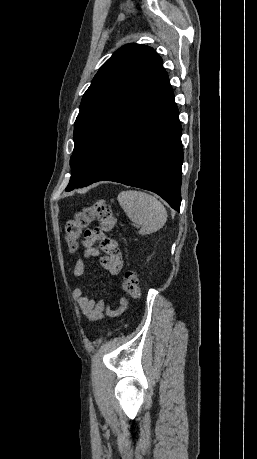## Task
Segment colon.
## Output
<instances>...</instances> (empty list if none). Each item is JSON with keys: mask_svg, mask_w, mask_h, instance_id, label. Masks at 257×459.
Returning <instances> with one entry per match:
<instances>
[{"mask_svg": "<svg viewBox=\"0 0 257 459\" xmlns=\"http://www.w3.org/2000/svg\"><path fill=\"white\" fill-rule=\"evenodd\" d=\"M95 219L100 222L102 229L106 232L112 231L115 227L116 220L106 200H97L93 205L77 211L73 219L67 221L65 239L70 250L77 249L82 230ZM122 288L128 296L139 297L141 287L136 274L126 272L122 279Z\"/></svg>", "mask_w": 257, "mask_h": 459, "instance_id": "1", "label": "colon"}]
</instances>
